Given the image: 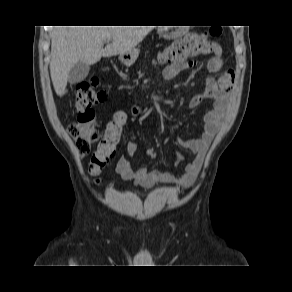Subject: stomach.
I'll return each mask as SVG.
<instances>
[{
	"label": "stomach",
	"instance_id": "1",
	"mask_svg": "<svg viewBox=\"0 0 292 292\" xmlns=\"http://www.w3.org/2000/svg\"><path fill=\"white\" fill-rule=\"evenodd\" d=\"M159 33L164 37V38H172L175 36L174 32H169V30L165 27L159 28ZM139 55V49L138 48H133L131 51L121 54L119 56V60L124 63L125 65H131L135 62Z\"/></svg>",
	"mask_w": 292,
	"mask_h": 292
}]
</instances>
